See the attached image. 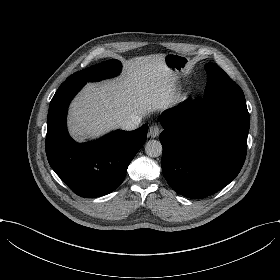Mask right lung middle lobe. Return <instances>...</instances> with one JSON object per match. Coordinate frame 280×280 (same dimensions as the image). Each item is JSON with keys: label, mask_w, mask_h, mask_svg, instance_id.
<instances>
[{"label": "right lung middle lobe", "mask_w": 280, "mask_h": 280, "mask_svg": "<svg viewBox=\"0 0 280 280\" xmlns=\"http://www.w3.org/2000/svg\"><path fill=\"white\" fill-rule=\"evenodd\" d=\"M121 69L120 61L112 59L76 72L69 76L66 81L96 82L117 76Z\"/></svg>", "instance_id": "dd1d6c3e"}]
</instances>
